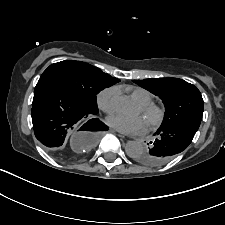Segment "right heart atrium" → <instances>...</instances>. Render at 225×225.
Wrapping results in <instances>:
<instances>
[{"label": "right heart atrium", "mask_w": 225, "mask_h": 225, "mask_svg": "<svg viewBox=\"0 0 225 225\" xmlns=\"http://www.w3.org/2000/svg\"><path fill=\"white\" fill-rule=\"evenodd\" d=\"M116 88L108 87L101 90L96 97L98 108L106 114H111L115 110Z\"/></svg>", "instance_id": "obj_1"}]
</instances>
